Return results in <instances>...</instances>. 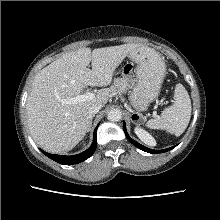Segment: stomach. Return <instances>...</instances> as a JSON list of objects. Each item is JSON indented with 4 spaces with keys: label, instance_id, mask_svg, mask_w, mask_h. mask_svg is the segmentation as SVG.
Returning <instances> with one entry per match:
<instances>
[{
    "label": "stomach",
    "instance_id": "obj_1",
    "mask_svg": "<svg viewBox=\"0 0 220 220\" xmlns=\"http://www.w3.org/2000/svg\"><path fill=\"white\" fill-rule=\"evenodd\" d=\"M129 58L136 63L137 77L130 103L137 112H143L160 94L165 77V62L158 52L144 46L133 50Z\"/></svg>",
    "mask_w": 220,
    "mask_h": 220
}]
</instances>
